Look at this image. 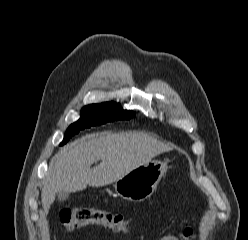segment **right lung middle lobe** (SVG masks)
I'll use <instances>...</instances> for the list:
<instances>
[{
    "mask_svg": "<svg viewBox=\"0 0 248 240\" xmlns=\"http://www.w3.org/2000/svg\"><path fill=\"white\" fill-rule=\"evenodd\" d=\"M133 116V111L123 110L120 104L115 102L85 106L81 110V118L77 122L71 124L66 130L64 140L61 145L68 142L73 135L78 134L79 130L90 128L91 126L101 125L110 121L130 119Z\"/></svg>",
    "mask_w": 248,
    "mask_h": 240,
    "instance_id": "right-lung-middle-lobe-1",
    "label": "right lung middle lobe"
}]
</instances>
